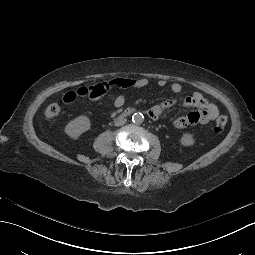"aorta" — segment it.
Returning a JSON list of instances; mask_svg holds the SVG:
<instances>
[{
    "mask_svg": "<svg viewBox=\"0 0 255 255\" xmlns=\"http://www.w3.org/2000/svg\"><path fill=\"white\" fill-rule=\"evenodd\" d=\"M143 121H144V116H143L142 113H134V114L132 115V122H133L134 124L139 125V124H141Z\"/></svg>",
    "mask_w": 255,
    "mask_h": 255,
    "instance_id": "aorta-1",
    "label": "aorta"
}]
</instances>
